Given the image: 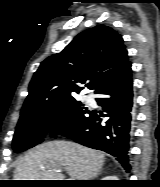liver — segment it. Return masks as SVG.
<instances>
[{
	"instance_id": "liver-1",
	"label": "liver",
	"mask_w": 160,
	"mask_h": 187,
	"mask_svg": "<svg viewBox=\"0 0 160 187\" xmlns=\"http://www.w3.org/2000/svg\"><path fill=\"white\" fill-rule=\"evenodd\" d=\"M102 152L67 141H50L29 150L18 162L15 180H60L65 170L71 180H92L100 172Z\"/></svg>"
}]
</instances>
